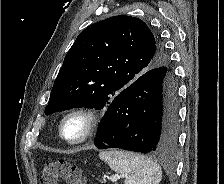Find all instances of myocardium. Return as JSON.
Wrapping results in <instances>:
<instances>
[{"mask_svg":"<svg viewBox=\"0 0 224 184\" xmlns=\"http://www.w3.org/2000/svg\"><path fill=\"white\" fill-rule=\"evenodd\" d=\"M73 117H79L84 121V131L77 139H69L64 134L65 123ZM100 117L97 111L90 107H76L64 114L59 124V135L61 139L69 145H80L88 141L95 133Z\"/></svg>","mask_w":224,"mask_h":184,"instance_id":"myocardium-1","label":"myocardium"}]
</instances>
